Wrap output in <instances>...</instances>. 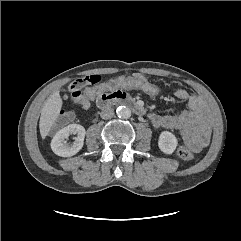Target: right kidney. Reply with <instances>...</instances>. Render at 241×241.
<instances>
[{
	"label": "right kidney",
	"mask_w": 241,
	"mask_h": 241,
	"mask_svg": "<svg viewBox=\"0 0 241 241\" xmlns=\"http://www.w3.org/2000/svg\"><path fill=\"white\" fill-rule=\"evenodd\" d=\"M70 134H77V137L72 144H67L66 139ZM84 138V127L79 124H70L55 134L51 141V149L58 156L70 157L83 147Z\"/></svg>",
	"instance_id": "1"
}]
</instances>
